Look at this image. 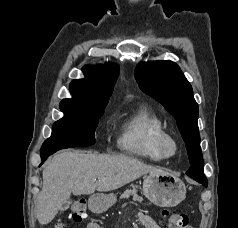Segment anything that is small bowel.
I'll return each instance as SVG.
<instances>
[{
  "instance_id": "small-bowel-1",
  "label": "small bowel",
  "mask_w": 238,
  "mask_h": 228,
  "mask_svg": "<svg viewBox=\"0 0 238 228\" xmlns=\"http://www.w3.org/2000/svg\"><path fill=\"white\" fill-rule=\"evenodd\" d=\"M140 223L144 228H160V226L155 222V220L144 213H140L138 215ZM87 228H101V226L97 222H90L87 225Z\"/></svg>"
}]
</instances>
